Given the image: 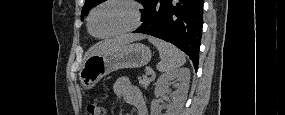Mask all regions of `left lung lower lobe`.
<instances>
[{
	"label": "left lung lower lobe",
	"mask_w": 285,
	"mask_h": 115,
	"mask_svg": "<svg viewBox=\"0 0 285 115\" xmlns=\"http://www.w3.org/2000/svg\"><path fill=\"white\" fill-rule=\"evenodd\" d=\"M143 24L135 30L163 39L184 51L198 67L203 26L202 0H145Z\"/></svg>",
	"instance_id": "1"
}]
</instances>
